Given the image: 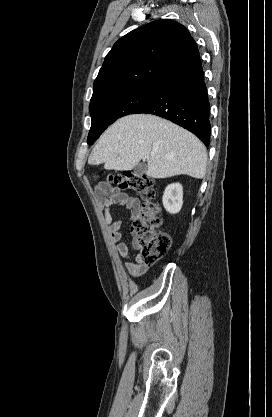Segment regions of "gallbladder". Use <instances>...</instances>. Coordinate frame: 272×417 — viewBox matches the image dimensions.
Wrapping results in <instances>:
<instances>
[{"label": "gallbladder", "instance_id": "obj_1", "mask_svg": "<svg viewBox=\"0 0 272 417\" xmlns=\"http://www.w3.org/2000/svg\"><path fill=\"white\" fill-rule=\"evenodd\" d=\"M147 165L145 163H139L134 167V174L137 176H141L146 173Z\"/></svg>", "mask_w": 272, "mask_h": 417}]
</instances>
